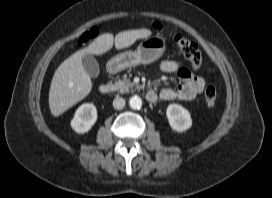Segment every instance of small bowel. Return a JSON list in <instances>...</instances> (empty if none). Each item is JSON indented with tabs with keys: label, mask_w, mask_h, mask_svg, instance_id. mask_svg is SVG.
<instances>
[{
	"label": "small bowel",
	"mask_w": 272,
	"mask_h": 198,
	"mask_svg": "<svg viewBox=\"0 0 272 198\" xmlns=\"http://www.w3.org/2000/svg\"><path fill=\"white\" fill-rule=\"evenodd\" d=\"M160 67L164 72L176 73L181 82L175 89L166 88L160 91L159 98L163 101L193 100L206 86V82L203 77L193 75L180 61L165 60L161 63Z\"/></svg>",
	"instance_id": "obj_1"
}]
</instances>
